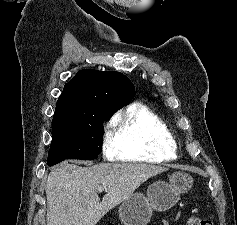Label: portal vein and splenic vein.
<instances>
[{"instance_id": "18ae733b", "label": "portal vein and splenic vein", "mask_w": 237, "mask_h": 225, "mask_svg": "<svg viewBox=\"0 0 237 225\" xmlns=\"http://www.w3.org/2000/svg\"><path fill=\"white\" fill-rule=\"evenodd\" d=\"M105 188H106V186H100V187H98V192H102Z\"/></svg>"}]
</instances>
